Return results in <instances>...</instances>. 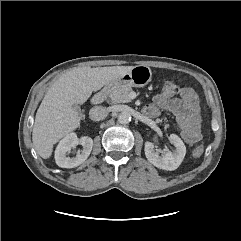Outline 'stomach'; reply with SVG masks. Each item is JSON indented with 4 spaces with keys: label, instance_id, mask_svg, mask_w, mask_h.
<instances>
[{
    "label": "stomach",
    "instance_id": "stomach-1",
    "mask_svg": "<svg viewBox=\"0 0 241 241\" xmlns=\"http://www.w3.org/2000/svg\"><path fill=\"white\" fill-rule=\"evenodd\" d=\"M152 78V71L148 66L136 65L129 72L118 77L106 85L107 90H115L122 87H144Z\"/></svg>",
    "mask_w": 241,
    "mask_h": 241
}]
</instances>
